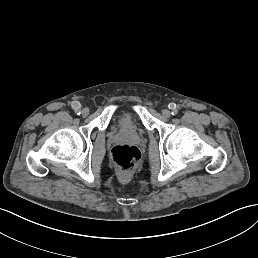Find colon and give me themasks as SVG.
<instances>
[{
	"label": "colon",
	"instance_id": "5ec220e1",
	"mask_svg": "<svg viewBox=\"0 0 258 258\" xmlns=\"http://www.w3.org/2000/svg\"><path fill=\"white\" fill-rule=\"evenodd\" d=\"M110 157L120 176L125 178L138 166L141 153L135 146L117 145L112 148Z\"/></svg>",
	"mask_w": 258,
	"mask_h": 258
}]
</instances>
